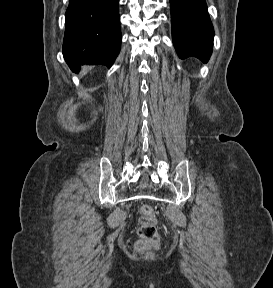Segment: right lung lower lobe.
<instances>
[{"label":"right lung lower lobe","instance_id":"right-lung-lower-lobe-1","mask_svg":"<svg viewBox=\"0 0 273 288\" xmlns=\"http://www.w3.org/2000/svg\"><path fill=\"white\" fill-rule=\"evenodd\" d=\"M118 4L119 0H70L63 56L73 71L83 64L113 65L121 47Z\"/></svg>","mask_w":273,"mask_h":288}]
</instances>
